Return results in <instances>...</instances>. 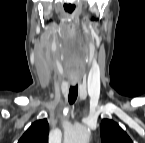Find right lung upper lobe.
<instances>
[{
	"mask_svg": "<svg viewBox=\"0 0 145 143\" xmlns=\"http://www.w3.org/2000/svg\"><path fill=\"white\" fill-rule=\"evenodd\" d=\"M48 134L47 119L38 120L31 124L18 143H48Z\"/></svg>",
	"mask_w": 145,
	"mask_h": 143,
	"instance_id": "obj_1",
	"label": "right lung upper lobe"
}]
</instances>
